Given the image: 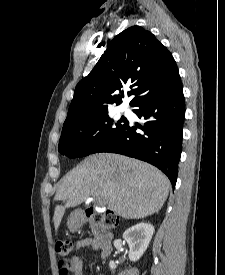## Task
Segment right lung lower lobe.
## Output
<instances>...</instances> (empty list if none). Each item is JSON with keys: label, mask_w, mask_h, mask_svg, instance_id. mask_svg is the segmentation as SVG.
<instances>
[{"label": "right lung lower lobe", "mask_w": 225, "mask_h": 275, "mask_svg": "<svg viewBox=\"0 0 225 275\" xmlns=\"http://www.w3.org/2000/svg\"><path fill=\"white\" fill-rule=\"evenodd\" d=\"M133 112L144 126L129 125L97 152L119 153L146 161L163 171L175 187L181 155L185 101L181 80L137 102ZM143 133H137V129Z\"/></svg>", "instance_id": "right-lung-lower-lobe-1"}]
</instances>
